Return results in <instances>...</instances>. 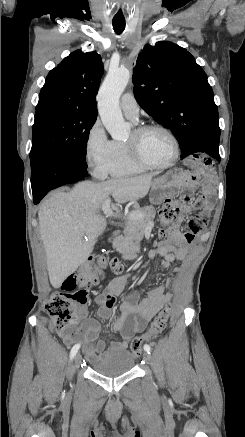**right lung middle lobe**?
<instances>
[{"label":"right lung middle lobe","mask_w":245,"mask_h":437,"mask_svg":"<svg viewBox=\"0 0 245 437\" xmlns=\"http://www.w3.org/2000/svg\"><path fill=\"white\" fill-rule=\"evenodd\" d=\"M96 118V114L59 105L36 107L31 168L47 158L85 163L88 136Z\"/></svg>","instance_id":"dd1d6c3e"}]
</instances>
